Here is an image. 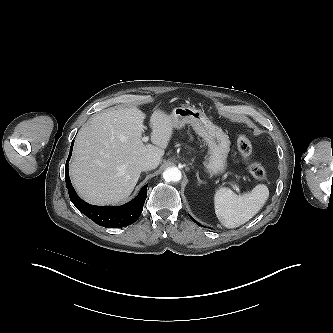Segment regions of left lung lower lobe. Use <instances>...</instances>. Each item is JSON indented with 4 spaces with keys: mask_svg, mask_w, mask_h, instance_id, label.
<instances>
[{
    "mask_svg": "<svg viewBox=\"0 0 333 333\" xmlns=\"http://www.w3.org/2000/svg\"><path fill=\"white\" fill-rule=\"evenodd\" d=\"M194 222H196L194 219H192ZM199 225V223H197Z\"/></svg>",
    "mask_w": 333,
    "mask_h": 333,
    "instance_id": "left-lung-lower-lobe-1",
    "label": "left lung lower lobe"
}]
</instances>
